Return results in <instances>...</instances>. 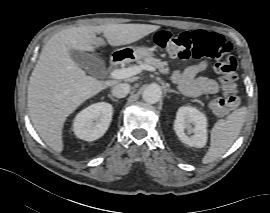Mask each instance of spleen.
<instances>
[{
	"mask_svg": "<svg viewBox=\"0 0 270 213\" xmlns=\"http://www.w3.org/2000/svg\"><path fill=\"white\" fill-rule=\"evenodd\" d=\"M246 113V107H241L215 123L210 132L209 150L202 159L204 164L221 157L234 143L245 122Z\"/></svg>",
	"mask_w": 270,
	"mask_h": 213,
	"instance_id": "3e777b00",
	"label": "spleen"
}]
</instances>
